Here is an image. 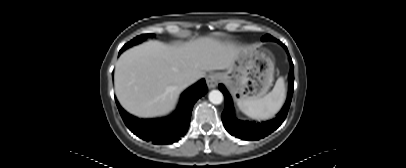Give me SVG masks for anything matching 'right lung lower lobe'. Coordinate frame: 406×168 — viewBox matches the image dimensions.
I'll use <instances>...</instances> for the list:
<instances>
[{
    "mask_svg": "<svg viewBox=\"0 0 406 168\" xmlns=\"http://www.w3.org/2000/svg\"><path fill=\"white\" fill-rule=\"evenodd\" d=\"M206 92V82L202 79L181 94L172 114L161 118L140 119L127 113L121 106L117 107L124 123L136 136L153 144H172L187 132L193 106Z\"/></svg>",
    "mask_w": 406,
    "mask_h": 168,
    "instance_id": "right-lung-lower-lobe-1",
    "label": "right lung lower lobe"
}]
</instances>
